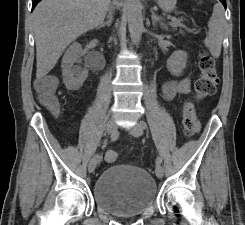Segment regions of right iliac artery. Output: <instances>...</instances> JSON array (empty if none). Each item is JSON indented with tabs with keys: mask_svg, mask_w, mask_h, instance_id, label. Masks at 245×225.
Returning a JSON list of instances; mask_svg holds the SVG:
<instances>
[{
	"mask_svg": "<svg viewBox=\"0 0 245 225\" xmlns=\"http://www.w3.org/2000/svg\"><path fill=\"white\" fill-rule=\"evenodd\" d=\"M118 136H119L118 132H115L110 138L111 142L117 140ZM101 161H102V156L101 155H97L96 164H99Z\"/></svg>",
	"mask_w": 245,
	"mask_h": 225,
	"instance_id": "right-iliac-artery-1",
	"label": "right iliac artery"
}]
</instances>
